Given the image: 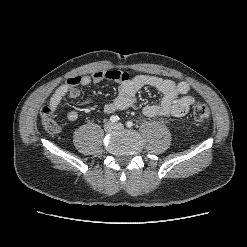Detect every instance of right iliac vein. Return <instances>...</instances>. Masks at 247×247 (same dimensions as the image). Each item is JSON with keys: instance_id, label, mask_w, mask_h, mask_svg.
<instances>
[{"instance_id": "obj_1", "label": "right iliac vein", "mask_w": 247, "mask_h": 247, "mask_svg": "<svg viewBox=\"0 0 247 247\" xmlns=\"http://www.w3.org/2000/svg\"><path fill=\"white\" fill-rule=\"evenodd\" d=\"M114 128V125L111 122H107L104 125V130L106 132H110Z\"/></svg>"}]
</instances>
